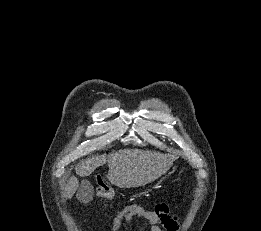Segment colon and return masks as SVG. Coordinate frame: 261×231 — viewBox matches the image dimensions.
I'll use <instances>...</instances> for the list:
<instances>
[{"label":"colon","instance_id":"obj_1","mask_svg":"<svg viewBox=\"0 0 261 231\" xmlns=\"http://www.w3.org/2000/svg\"><path fill=\"white\" fill-rule=\"evenodd\" d=\"M97 194L105 200L111 198V188L106 184H100Z\"/></svg>","mask_w":261,"mask_h":231}]
</instances>
